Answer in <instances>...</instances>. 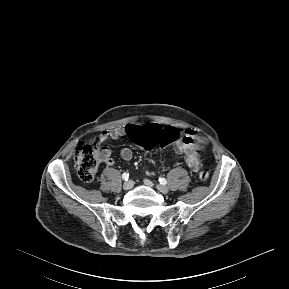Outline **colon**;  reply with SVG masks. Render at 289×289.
<instances>
[{
  "mask_svg": "<svg viewBox=\"0 0 289 289\" xmlns=\"http://www.w3.org/2000/svg\"><path fill=\"white\" fill-rule=\"evenodd\" d=\"M127 133L131 140L146 151L156 146L166 147L182 138L180 132L175 128L162 129L157 124L145 126H128ZM101 162V151L96 145L80 143L74 153V163L80 179L91 182L96 175ZM209 177L206 170L199 172V179L205 182Z\"/></svg>",
  "mask_w": 289,
  "mask_h": 289,
  "instance_id": "colon-1",
  "label": "colon"
}]
</instances>
